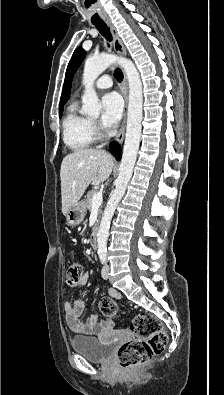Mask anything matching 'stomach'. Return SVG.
<instances>
[{"label":"stomach","mask_w":224,"mask_h":395,"mask_svg":"<svg viewBox=\"0 0 224 395\" xmlns=\"http://www.w3.org/2000/svg\"><path fill=\"white\" fill-rule=\"evenodd\" d=\"M86 208L84 203L78 202L66 213V225L69 227L78 226L85 217Z\"/></svg>","instance_id":"1"}]
</instances>
